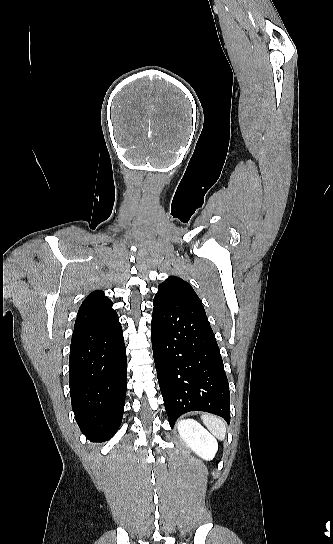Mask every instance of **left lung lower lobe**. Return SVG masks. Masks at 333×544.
Listing matches in <instances>:
<instances>
[{"label":"left lung lower lobe","mask_w":333,"mask_h":544,"mask_svg":"<svg viewBox=\"0 0 333 544\" xmlns=\"http://www.w3.org/2000/svg\"><path fill=\"white\" fill-rule=\"evenodd\" d=\"M152 348L170 426L189 411L230 422V392L215 335L203 305L153 302Z\"/></svg>","instance_id":"0a47b994"}]
</instances>
